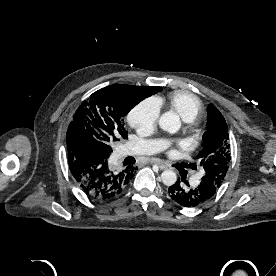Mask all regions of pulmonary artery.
I'll return each instance as SVG.
<instances>
[{
    "label": "pulmonary artery",
    "mask_w": 276,
    "mask_h": 276,
    "mask_svg": "<svg viewBox=\"0 0 276 276\" xmlns=\"http://www.w3.org/2000/svg\"><path fill=\"white\" fill-rule=\"evenodd\" d=\"M165 143L160 141H152V140H146V141H140L137 143H129L127 144L124 149L123 153L126 154H154L165 148ZM200 177L198 175L195 178V181Z\"/></svg>",
    "instance_id": "1"
}]
</instances>
